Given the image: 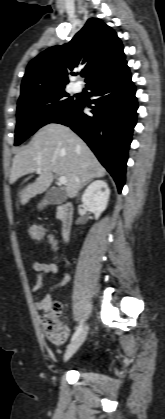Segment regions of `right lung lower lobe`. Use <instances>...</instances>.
Segmentation results:
<instances>
[{"instance_id":"1","label":"right lung lower lobe","mask_w":165,"mask_h":419,"mask_svg":"<svg viewBox=\"0 0 165 419\" xmlns=\"http://www.w3.org/2000/svg\"><path fill=\"white\" fill-rule=\"evenodd\" d=\"M87 88L94 98L91 113L83 112L90 104L80 99L74 109L51 123L66 125L76 132L112 175L121 192L138 108L127 63Z\"/></svg>"}]
</instances>
